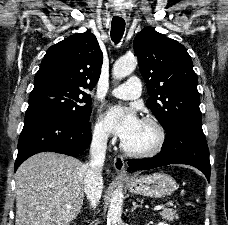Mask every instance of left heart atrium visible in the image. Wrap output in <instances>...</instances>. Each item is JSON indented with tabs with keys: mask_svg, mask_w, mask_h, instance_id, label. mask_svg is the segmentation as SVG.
Listing matches in <instances>:
<instances>
[{
	"mask_svg": "<svg viewBox=\"0 0 228 225\" xmlns=\"http://www.w3.org/2000/svg\"><path fill=\"white\" fill-rule=\"evenodd\" d=\"M105 119L109 128L126 142L137 135L142 124L135 109L122 106L110 107Z\"/></svg>",
	"mask_w": 228,
	"mask_h": 225,
	"instance_id": "obj_1",
	"label": "left heart atrium"
}]
</instances>
